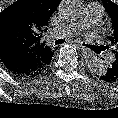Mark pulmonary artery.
I'll return each instance as SVG.
<instances>
[{
	"label": "pulmonary artery",
	"instance_id": "obj_1",
	"mask_svg": "<svg viewBox=\"0 0 118 118\" xmlns=\"http://www.w3.org/2000/svg\"><path fill=\"white\" fill-rule=\"evenodd\" d=\"M103 15V9L98 2H90L83 11L80 20L65 27L67 35L74 36L81 31L92 28L98 24ZM108 59H114L113 54H109Z\"/></svg>",
	"mask_w": 118,
	"mask_h": 118
}]
</instances>
